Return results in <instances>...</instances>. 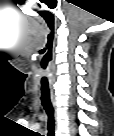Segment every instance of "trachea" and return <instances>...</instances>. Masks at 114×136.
<instances>
[{
	"instance_id": "3493384b",
	"label": "trachea",
	"mask_w": 114,
	"mask_h": 136,
	"mask_svg": "<svg viewBox=\"0 0 114 136\" xmlns=\"http://www.w3.org/2000/svg\"><path fill=\"white\" fill-rule=\"evenodd\" d=\"M40 90L41 102L48 116V131L52 133L54 129L53 106L50 99L49 83L45 77L41 81Z\"/></svg>"
}]
</instances>
